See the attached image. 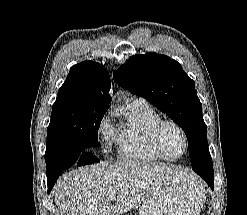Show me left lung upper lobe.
Here are the masks:
<instances>
[{
	"mask_svg": "<svg viewBox=\"0 0 247 215\" xmlns=\"http://www.w3.org/2000/svg\"><path fill=\"white\" fill-rule=\"evenodd\" d=\"M113 78L121 87L147 99L184 130L192 166L210 155L195 83L177 61L153 52L135 55L117 69Z\"/></svg>",
	"mask_w": 247,
	"mask_h": 215,
	"instance_id": "left-lung-upper-lobe-1",
	"label": "left lung upper lobe"
}]
</instances>
